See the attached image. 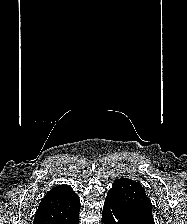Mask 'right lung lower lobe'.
<instances>
[{
  "instance_id": "right-lung-lower-lobe-1",
  "label": "right lung lower lobe",
  "mask_w": 187,
  "mask_h": 224,
  "mask_svg": "<svg viewBox=\"0 0 187 224\" xmlns=\"http://www.w3.org/2000/svg\"><path fill=\"white\" fill-rule=\"evenodd\" d=\"M66 224H79V211Z\"/></svg>"
}]
</instances>
